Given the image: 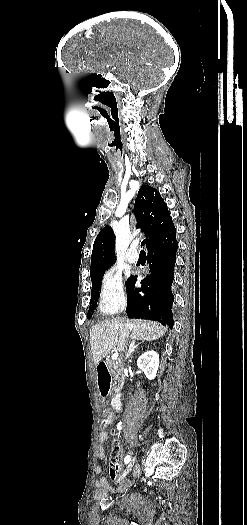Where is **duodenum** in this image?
<instances>
[{
	"mask_svg": "<svg viewBox=\"0 0 247 525\" xmlns=\"http://www.w3.org/2000/svg\"><path fill=\"white\" fill-rule=\"evenodd\" d=\"M96 378L100 394L106 396L111 387V375L109 364L107 362H100L96 367ZM124 400L121 394L113 397L111 401L112 408L119 411L123 406Z\"/></svg>",
	"mask_w": 247,
	"mask_h": 525,
	"instance_id": "obj_1",
	"label": "duodenum"
}]
</instances>
